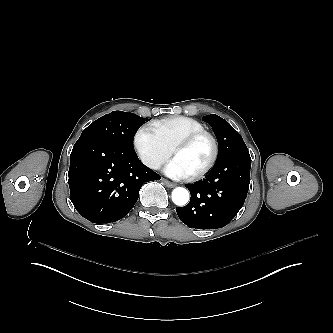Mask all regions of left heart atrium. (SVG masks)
<instances>
[{
    "label": "left heart atrium",
    "instance_id": "left-heart-atrium-1",
    "mask_svg": "<svg viewBox=\"0 0 333 333\" xmlns=\"http://www.w3.org/2000/svg\"><path fill=\"white\" fill-rule=\"evenodd\" d=\"M163 171L167 176L174 179H186L189 176L186 170L174 158L169 160Z\"/></svg>",
    "mask_w": 333,
    "mask_h": 333
}]
</instances>
